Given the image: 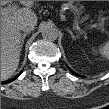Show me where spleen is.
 Segmentation results:
<instances>
[{"mask_svg":"<svg viewBox=\"0 0 109 109\" xmlns=\"http://www.w3.org/2000/svg\"><path fill=\"white\" fill-rule=\"evenodd\" d=\"M103 55L108 56L109 54V46L105 45L102 51Z\"/></svg>","mask_w":109,"mask_h":109,"instance_id":"spleen-1","label":"spleen"}]
</instances>
